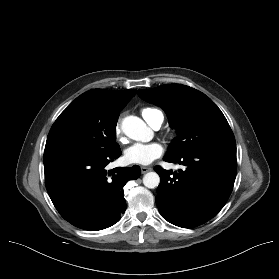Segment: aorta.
Segmentation results:
<instances>
[{
    "label": "aorta",
    "instance_id": "1",
    "mask_svg": "<svg viewBox=\"0 0 279 279\" xmlns=\"http://www.w3.org/2000/svg\"><path fill=\"white\" fill-rule=\"evenodd\" d=\"M121 128L126 136L136 141L145 142L152 136L150 128L147 127L143 120L136 116L124 118ZM159 183L160 177L156 172H148L143 177V184L149 189L156 188Z\"/></svg>",
    "mask_w": 279,
    "mask_h": 279
}]
</instances>
